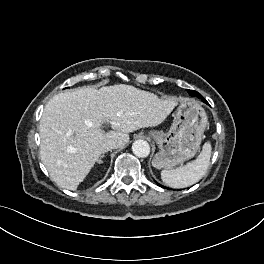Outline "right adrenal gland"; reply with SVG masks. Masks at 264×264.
<instances>
[{
  "mask_svg": "<svg viewBox=\"0 0 264 264\" xmlns=\"http://www.w3.org/2000/svg\"><path fill=\"white\" fill-rule=\"evenodd\" d=\"M104 156H105V155L102 154V155H101V158H103ZM97 163H98V164H101V163H103V161H102L101 159H99V160L97 161Z\"/></svg>",
  "mask_w": 264,
  "mask_h": 264,
  "instance_id": "obj_1",
  "label": "right adrenal gland"
}]
</instances>
